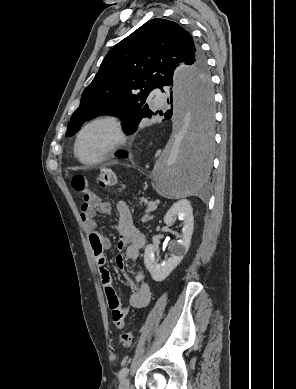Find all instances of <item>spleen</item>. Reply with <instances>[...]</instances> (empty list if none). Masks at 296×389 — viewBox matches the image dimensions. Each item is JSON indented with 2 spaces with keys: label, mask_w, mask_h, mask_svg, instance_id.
I'll use <instances>...</instances> for the list:
<instances>
[{
  "label": "spleen",
  "mask_w": 296,
  "mask_h": 389,
  "mask_svg": "<svg viewBox=\"0 0 296 389\" xmlns=\"http://www.w3.org/2000/svg\"><path fill=\"white\" fill-rule=\"evenodd\" d=\"M194 179V178H193ZM192 191L195 189V185L192 184V187H191Z\"/></svg>",
  "instance_id": "1"
}]
</instances>
